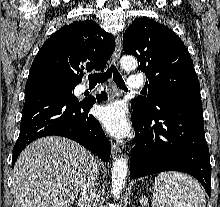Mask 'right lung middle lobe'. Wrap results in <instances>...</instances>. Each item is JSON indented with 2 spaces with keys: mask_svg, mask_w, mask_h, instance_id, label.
Masks as SVG:
<instances>
[{
  "mask_svg": "<svg viewBox=\"0 0 220 207\" xmlns=\"http://www.w3.org/2000/svg\"><path fill=\"white\" fill-rule=\"evenodd\" d=\"M53 80L60 81V80H57V79H53ZM61 82H63V81H61ZM63 83L66 84L71 91H74V88H75L76 84H71V83H67V82H63Z\"/></svg>",
  "mask_w": 220,
  "mask_h": 207,
  "instance_id": "obj_1",
  "label": "right lung middle lobe"
}]
</instances>
